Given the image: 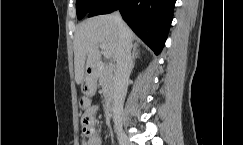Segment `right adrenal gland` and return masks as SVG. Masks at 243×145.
<instances>
[{"label":"right adrenal gland","instance_id":"2a0ac1e0","mask_svg":"<svg viewBox=\"0 0 243 145\" xmlns=\"http://www.w3.org/2000/svg\"><path fill=\"white\" fill-rule=\"evenodd\" d=\"M137 58H140V51L138 49V45L134 44L133 51H132V63H133V66L135 65V60Z\"/></svg>","mask_w":243,"mask_h":145}]
</instances>
